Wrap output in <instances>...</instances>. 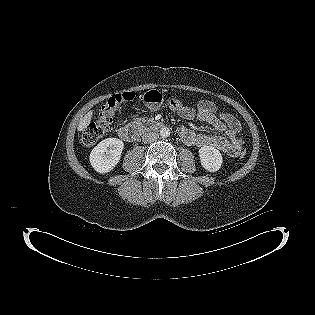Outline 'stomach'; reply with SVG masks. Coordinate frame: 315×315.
<instances>
[{
    "label": "stomach",
    "mask_w": 315,
    "mask_h": 315,
    "mask_svg": "<svg viewBox=\"0 0 315 315\" xmlns=\"http://www.w3.org/2000/svg\"><path fill=\"white\" fill-rule=\"evenodd\" d=\"M143 100L147 107L159 108L163 104V94L156 89L149 90L143 95Z\"/></svg>",
    "instance_id": "0dacf381"
}]
</instances>
